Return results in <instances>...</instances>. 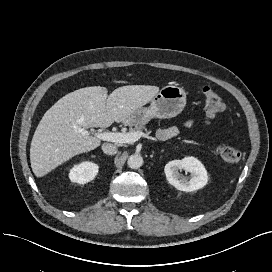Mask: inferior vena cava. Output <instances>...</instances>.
Segmentation results:
<instances>
[{
    "label": "inferior vena cava",
    "mask_w": 272,
    "mask_h": 272,
    "mask_svg": "<svg viewBox=\"0 0 272 272\" xmlns=\"http://www.w3.org/2000/svg\"><path fill=\"white\" fill-rule=\"evenodd\" d=\"M102 150L105 154H108V155H115L118 151L117 147L110 143H104L102 145Z\"/></svg>",
    "instance_id": "602c4592"
}]
</instances>
